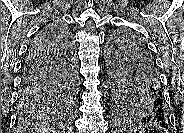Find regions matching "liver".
Here are the masks:
<instances>
[{"mask_svg":"<svg viewBox=\"0 0 184 133\" xmlns=\"http://www.w3.org/2000/svg\"><path fill=\"white\" fill-rule=\"evenodd\" d=\"M29 131L35 133H56V130L50 127L48 123H36Z\"/></svg>","mask_w":184,"mask_h":133,"instance_id":"obj_1","label":"liver"}]
</instances>
